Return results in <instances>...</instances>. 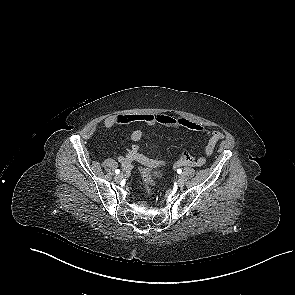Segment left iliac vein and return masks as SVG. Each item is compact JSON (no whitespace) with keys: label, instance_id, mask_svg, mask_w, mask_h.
I'll list each match as a JSON object with an SVG mask.
<instances>
[{"label":"left iliac vein","instance_id":"1","mask_svg":"<svg viewBox=\"0 0 295 295\" xmlns=\"http://www.w3.org/2000/svg\"><path fill=\"white\" fill-rule=\"evenodd\" d=\"M184 184H185L184 179H183V178H179L178 181H177V185H178L179 187H183Z\"/></svg>","mask_w":295,"mask_h":295}]
</instances>
